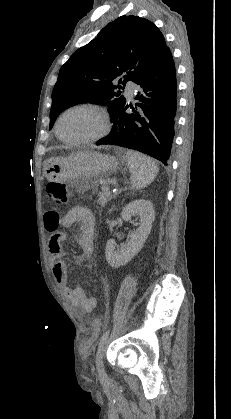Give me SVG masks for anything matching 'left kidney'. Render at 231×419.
I'll return each mask as SVG.
<instances>
[{"label":"left kidney","instance_id":"obj_1","mask_svg":"<svg viewBox=\"0 0 231 419\" xmlns=\"http://www.w3.org/2000/svg\"><path fill=\"white\" fill-rule=\"evenodd\" d=\"M121 216L125 221H130L133 216H137L139 226L130 233V239L120 246H117L113 239L108 240L105 249L106 260L113 268L125 265L142 249L150 234L155 211L150 201L140 199L127 204L122 210Z\"/></svg>","mask_w":231,"mask_h":419}]
</instances>
